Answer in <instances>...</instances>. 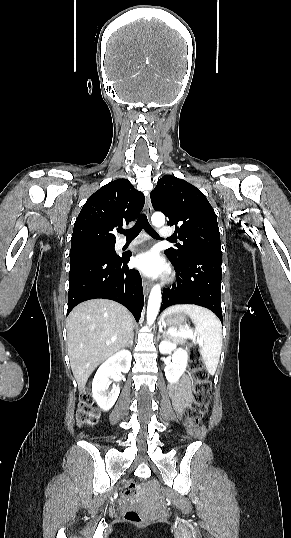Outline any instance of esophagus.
Listing matches in <instances>:
<instances>
[{
    "mask_svg": "<svg viewBox=\"0 0 291 538\" xmlns=\"http://www.w3.org/2000/svg\"><path fill=\"white\" fill-rule=\"evenodd\" d=\"M152 210H153V208H152L151 198L149 196L146 199V202H145V213H146L147 217H150V215L152 213ZM143 289H144L145 295H147L148 292L151 289V282L148 281V280L143 279Z\"/></svg>",
    "mask_w": 291,
    "mask_h": 538,
    "instance_id": "34e87169",
    "label": "esophagus"
}]
</instances>
